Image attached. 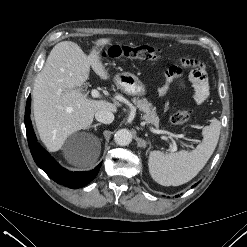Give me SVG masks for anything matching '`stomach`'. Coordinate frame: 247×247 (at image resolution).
Wrapping results in <instances>:
<instances>
[{
  "instance_id": "0dacf381",
  "label": "stomach",
  "mask_w": 247,
  "mask_h": 247,
  "mask_svg": "<svg viewBox=\"0 0 247 247\" xmlns=\"http://www.w3.org/2000/svg\"><path fill=\"white\" fill-rule=\"evenodd\" d=\"M114 81L117 87L128 95L143 96L146 94L145 84L134 74L118 73L115 75Z\"/></svg>"
}]
</instances>
